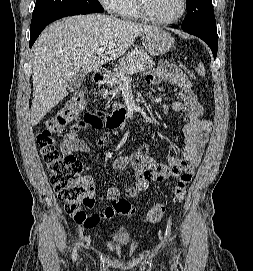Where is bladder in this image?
I'll use <instances>...</instances> for the list:
<instances>
[{
  "label": "bladder",
  "mask_w": 253,
  "mask_h": 271,
  "mask_svg": "<svg viewBox=\"0 0 253 271\" xmlns=\"http://www.w3.org/2000/svg\"><path fill=\"white\" fill-rule=\"evenodd\" d=\"M132 239V233L128 229L119 228L105 238L104 244L108 247L123 246Z\"/></svg>",
  "instance_id": "bladder-1"
}]
</instances>
